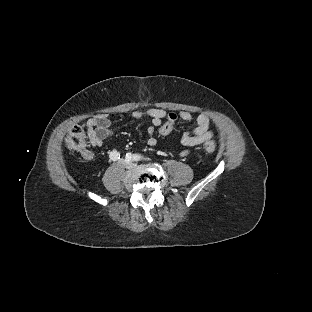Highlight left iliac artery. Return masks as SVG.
<instances>
[{
    "label": "left iliac artery",
    "mask_w": 312,
    "mask_h": 312,
    "mask_svg": "<svg viewBox=\"0 0 312 312\" xmlns=\"http://www.w3.org/2000/svg\"><path fill=\"white\" fill-rule=\"evenodd\" d=\"M136 158L139 159L140 157L136 155Z\"/></svg>",
    "instance_id": "1"
}]
</instances>
